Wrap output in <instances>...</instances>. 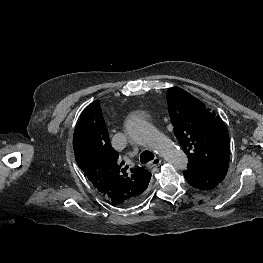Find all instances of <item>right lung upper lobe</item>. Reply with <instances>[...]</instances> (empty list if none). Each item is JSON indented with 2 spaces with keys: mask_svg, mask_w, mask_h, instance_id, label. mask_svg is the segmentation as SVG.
<instances>
[{
  "mask_svg": "<svg viewBox=\"0 0 263 263\" xmlns=\"http://www.w3.org/2000/svg\"><path fill=\"white\" fill-rule=\"evenodd\" d=\"M75 159L93 186L111 203L128 206L148 186L151 173L137 167L128 169L112 148L98 100L80 115L74 130Z\"/></svg>",
  "mask_w": 263,
  "mask_h": 263,
  "instance_id": "right-lung-upper-lobe-1",
  "label": "right lung upper lobe"
}]
</instances>
